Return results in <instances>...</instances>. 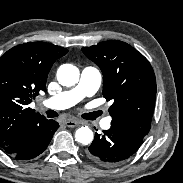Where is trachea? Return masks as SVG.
<instances>
[{
    "mask_svg": "<svg viewBox=\"0 0 183 183\" xmlns=\"http://www.w3.org/2000/svg\"><path fill=\"white\" fill-rule=\"evenodd\" d=\"M45 113H46L48 118H54V117L58 116V113L56 111H54V110H48ZM88 115L89 114H84L82 117L85 118V119L91 120Z\"/></svg>",
    "mask_w": 183,
    "mask_h": 183,
    "instance_id": "trachea-1",
    "label": "trachea"
}]
</instances>
